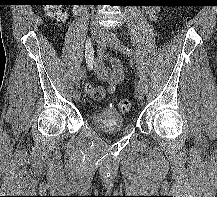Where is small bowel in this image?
Segmentation results:
<instances>
[{
	"mask_svg": "<svg viewBox=\"0 0 217 197\" xmlns=\"http://www.w3.org/2000/svg\"><path fill=\"white\" fill-rule=\"evenodd\" d=\"M104 47L98 51V56L95 59V71L99 77V79L103 82L107 83V87H93L95 90H101L103 95L96 99L93 95V91H89L88 95L95 100H101L105 97L107 93H114L116 91L117 86L122 83L124 79V67L123 63L119 58L105 55ZM109 65V67L106 66Z\"/></svg>",
	"mask_w": 217,
	"mask_h": 197,
	"instance_id": "small-bowel-1",
	"label": "small bowel"
}]
</instances>
